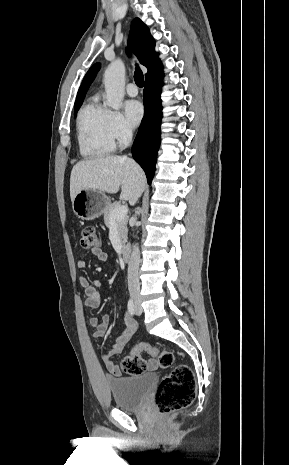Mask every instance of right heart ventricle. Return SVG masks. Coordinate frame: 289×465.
<instances>
[{
    "label": "right heart ventricle",
    "mask_w": 289,
    "mask_h": 465,
    "mask_svg": "<svg viewBox=\"0 0 289 465\" xmlns=\"http://www.w3.org/2000/svg\"><path fill=\"white\" fill-rule=\"evenodd\" d=\"M110 111L101 105L97 96L91 97L79 110L76 133L80 153L89 159L104 157L115 149L109 128Z\"/></svg>",
    "instance_id": "obj_1"
}]
</instances>
